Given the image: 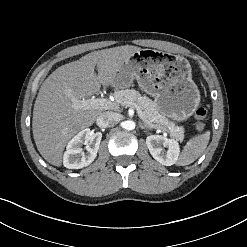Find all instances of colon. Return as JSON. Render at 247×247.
Wrapping results in <instances>:
<instances>
[{"mask_svg":"<svg viewBox=\"0 0 247 247\" xmlns=\"http://www.w3.org/2000/svg\"><path fill=\"white\" fill-rule=\"evenodd\" d=\"M207 114V111L206 109L203 107V106H199L195 112H194V116H195V119H196V129L197 130H202L204 125H203V119L205 118Z\"/></svg>","mask_w":247,"mask_h":247,"instance_id":"5ec220e1","label":"colon"}]
</instances>
